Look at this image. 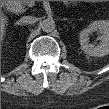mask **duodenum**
<instances>
[{
    "label": "duodenum",
    "mask_w": 109,
    "mask_h": 109,
    "mask_svg": "<svg viewBox=\"0 0 109 109\" xmlns=\"http://www.w3.org/2000/svg\"><path fill=\"white\" fill-rule=\"evenodd\" d=\"M6 6H7V8H11L12 5L7 3Z\"/></svg>",
    "instance_id": "duodenum-1"
}]
</instances>
